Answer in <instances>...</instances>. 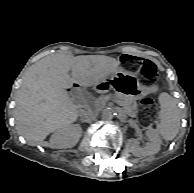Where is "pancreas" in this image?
<instances>
[{
	"instance_id": "obj_1",
	"label": "pancreas",
	"mask_w": 194,
	"mask_h": 193,
	"mask_svg": "<svg viewBox=\"0 0 194 193\" xmlns=\"http://www.w3.org/2000/svg\"><path fill=\"white\" fill-rule=\"evenodd\" d=\"M110 101L112 103H116L117 105L123 106L125 112L131 116L135 117L137 113V104L132 99H125L121 96H117L115 94L111 95Z\"/></svg>"
}]
</instances>
